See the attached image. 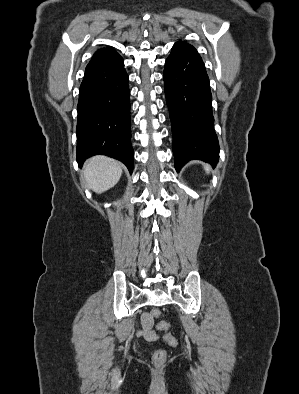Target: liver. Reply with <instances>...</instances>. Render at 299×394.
<instances>
[{"mask_svg":"<svg viewBox=\"0 0 299 394\" xmlns=\"http://www.w3.org/2000/svg\"><path fill=\"white\" fill-rule=\"evenodd\" d=\"M121 175V163L106 156H94L84 166L87 185L96 193H103L114 187Z\"/></svg>","mask_w":299,"mask_h":394,"instance_id":"liver-1","label":"liver"}]
</instances>
